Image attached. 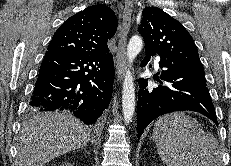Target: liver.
Instances as JSON below:
<instances>
[{"instance_id":"6515ba94","label":"liver","mask_w":231,"mask_h":166,"mask_svg":"<svg viewBox=\"0 0 231 166\" xmlns=\"http://www.w3.org/2000/svg\"><path fill=\"white\" fill-rule=\"evenodd\" d=\"M90 137V130L68 112L37 115L21 130L17 146L19 166H44L83 147Z\"/></svg>"}]
</instances>
